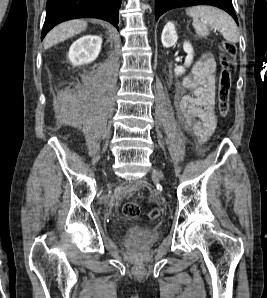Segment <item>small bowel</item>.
Returning <instances> with one entry per match:
<instances>
[{
	"instance_id": "small-bowel-1",
	"label": "small bowel",
	"mask_w": 267,
	"mask_h": 298,
	"mask_svg": "<svg viewBox=\"0 0 267 298\" xmlns=\"http://www.w3.org/2000/svg\"><path fill=\"white\" fill-rule=\"evenodd\" d=\"M215 59L203 55L192 67L191 74L182 82L177 111L183 126L205 143L217 125L215 112ZM141 183L135 188L141 187Z\"/></svg>"
}]
</instances>
